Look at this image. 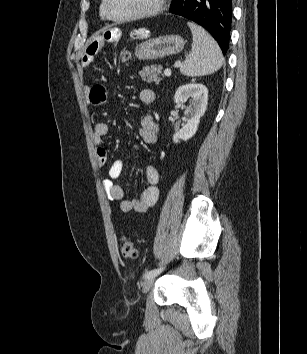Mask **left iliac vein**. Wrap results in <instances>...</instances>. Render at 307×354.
Segmentation results:
<instances>
[{"instance_id": "1", "label": "left iliac vein", "mask_w": 307, "mask_h": 354, "mask_svg": "<svg viewBox=\"0 0 307 354\" xmlns=\"http://www.w3.org/2000/svg\"><path fill=\"white\" fill-rule=\"evenodd\" d=\"M155 281V276L147 278L143 283V293L149 292V290L153 287Z\"/></svg>"}]
</instances>
